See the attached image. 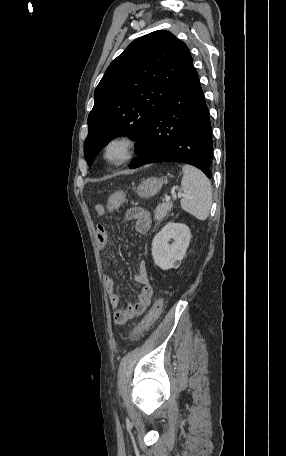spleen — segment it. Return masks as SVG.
<instances>
[{"mask_svg": "<svg viewBox=\"0 0 286 456\" xmlns=\"http://www.w3.org/2000/svg\"><path fill=\"white\" fill-rule=\"evenodd\" d=\"M181 186L184 192L181 207L197 219H207L212 204L211 185L202 171L190 165L182 167Z\"/></svg>", "mask_w": 286, "mask_h": 456, "instance_id": "1", "label": "spleen"}]
</instances>
